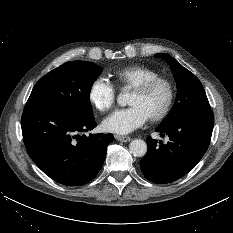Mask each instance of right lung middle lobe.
<instances>
[{"mask_svg":"<svg viewBox=\"0 0 233 233\" xmlns=\"http://www.w3.org/2000/svg\"><path fill=\"white\" fill-rule=\"evenodd\" d=\"M102 68L86 61H69L42 77L27 101L72 111L86 120L94 119L90 90Z\"/></svg>","mask_w":233,"mask_h":233,"instance_id":"dd1d6c3e","label":"right lung middle lobe"}]
</instances>
